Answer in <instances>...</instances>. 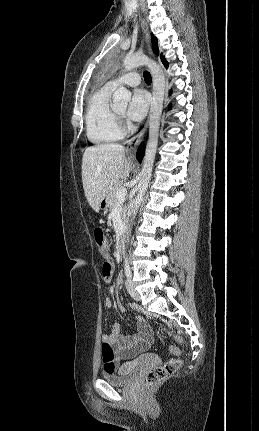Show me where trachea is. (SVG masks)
<instances>
[{
    "mask_svg": "<svg viewBox=\"0 0 259 431\" xmlns=\"http://www.w3.org/2000/svg\"><path fill=\"white\" fill-rule=\"evenodd\" d=\"M144 80L147 84H150L152 81L151 74L148 71H145L143 74Z\"/></svg>",
    "mask_w": 259,
    "mask_h": 431,
    "instance_id": "obj_1",
    "label": "trachea"
}]
</instances>
